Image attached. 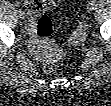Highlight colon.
<instances>
[{
  "mask_svg": "<svg viewBox=\"0 0 111 106\" xmlns=\"http://www.w3.org/2000/svg\"><path fill=\"white\" fill-rule=\"evenodd\" d=\"M53 22L51 18L47 16H42L38 19L36 24V33L40 38L36 47L40 50L46 49L49 54L43 61V68L46 72L52 73L57 69L56 58L59 55V51L55 49L50 41L48 40L53 34Z\"/></svg>",
  "mask_w": 111,
  "mask_h": 106,
  "instance_id": "colon-1",
  "label": "colon"
}]
</instances>
